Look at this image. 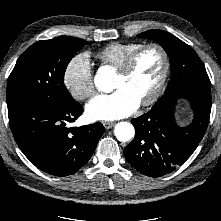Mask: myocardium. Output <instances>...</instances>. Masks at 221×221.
I'll list each match as a JSON object with an SVG mask.
<instances>
[{
    "mask_svg": "<svg viewBox=\"0 0 221 221\" xmlns=\"http://www.w3.org/2000/svg\"><path fill=\"white\" fill-rule=\"evenodd\" d=\"M148 49H156L161 54L163 66H162L161 76H160V79L158 81L156 88L154 89V91L152 92V94L149 97L144 99L139 104L140 106H149V105H152L153 103H155L160 98V96L162 95V93L165 89L167 79L169 76V70H170V59H169V55H168L167 51L165 50V48L162 45H160L158 43L143 44L139 48H137L135 51H133L126 58V60L123 62V64L118 68V73L125 75V76L129 75L132 72V70L134 69V66H135L136 61L139 58V56L144 51H146Z\"/></svg>",
    "mask_w": 221,
    "mask_h": 221,
    "instance_id": "obj_1",
    "label": "myocardium"
}]
</instances>
